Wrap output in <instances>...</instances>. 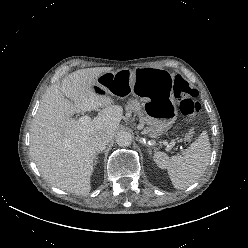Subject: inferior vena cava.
Wrapping results in <instances>:
<instances>
[{
    "label": "inferior vena cava",
    "instance_id": "obj_1",
    "mask_svg": "<svg viewBox=\"0 0 248 248\" xmlns=\"http://www.w3.org/2000/svg\"><path fill=\"white\" fill-rule=\"evenodd\" d=\"M111 137L107 133H97L91 139V145L95 151H102L110 142Z\"/></svg>",
    "mask_w": 248,
    "mask_h": 248
}]
</instances>
